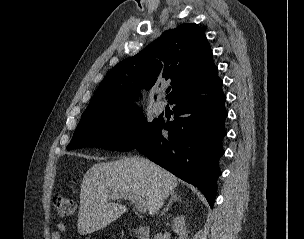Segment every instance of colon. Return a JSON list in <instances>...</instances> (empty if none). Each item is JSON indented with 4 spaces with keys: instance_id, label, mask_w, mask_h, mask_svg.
<instances>
[{
    "instance_id": "5ec220e1",
    "label": "colon",
    "mask_w": 304,
    "mask_h": 239,
    "mask_svg": "<svg viewBox=\"0 0 304 239\" xmlns=\"http://www.w3.org/2000/svg\"><path fill=\"white\" fill-rule=\"evenodd\" d=\"M54 206L59 216L63 218L71 217L77 209V203L74 199L63 196L54 198Z\"/></svg>"
}]
</instances>
